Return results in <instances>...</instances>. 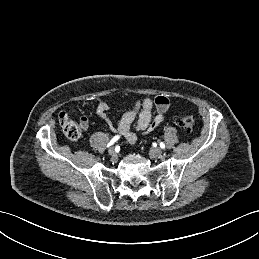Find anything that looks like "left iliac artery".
<instances>
[{"label":"left iliac artery","mask_w":259,"mask_h":259,"mask_svg":"<svg viewBox=\"0 0 259 259\" xmlns=\"http://www.w3.org/2000/svg\"><path fill=\"white\" fill-rule=\"evenodd\" d=\"M160 147H161L162 149H164V148H165V144H164L163 142H161V143H160Z\"/></svg>","instance_id":"1"}]
</instances>
